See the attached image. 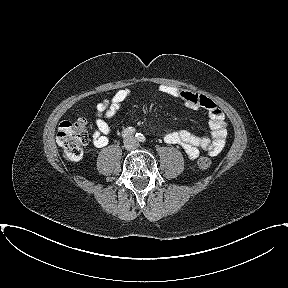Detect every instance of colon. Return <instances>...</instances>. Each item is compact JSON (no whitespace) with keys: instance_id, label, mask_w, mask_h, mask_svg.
<instances>
[{"instance_id":"colon-1","label":"colon","mask_w":288,"mask_h":288,"mask_svg":"<svg viewBox=\"0 0 288 288\" xmlns=\"http://www.w3.org/2000/svg\"><path fill=\"white\" fill-rule=\"evenodd\" d=\"M88 139L84 118L63 121L59 125L56 135L58 145L63 149L66 159L70 161L81 159ZM197 163L201 169H208L212 165V161L208 157L199 158Z\"/></svg>"}]
</instances>
